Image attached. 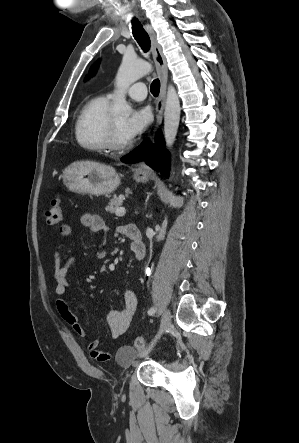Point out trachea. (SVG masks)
<instances>
[{
  "label": "trachea",
  "mask_w": 299,
  "mask_h": 443,
  "mask_svg": "<svg viewBox=\"0 0 299 443\" xmlns=\"http://www.w3.org/2000/svg\"><path fill=\"white\" fill-rule=\"evenodd\" d=\"M132 32L135 40L141 47L144 52H148L150 50V38L148 33L144 30L143 26L137 19L132 20ZM151 93L157 97L160 91V81L159 79H155L151 83L150 87Z\"/></svg>",
  "instance_id": "obj_1"
}]
</instances>
